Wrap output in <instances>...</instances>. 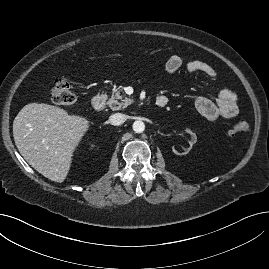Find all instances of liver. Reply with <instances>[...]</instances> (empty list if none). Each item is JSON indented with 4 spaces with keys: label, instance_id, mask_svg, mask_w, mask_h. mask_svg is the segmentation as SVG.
I'll return each mask as SVG.
<instances>
[{
    "label": "liver",
    "instance_id": "6515ba94",
    "mask_svg": "<svg viewBox=\"0 0 269 269\" xmlns=\"http://www.w3.org/2000/svg\"><path fill=\"white\" fill-rule=\"evenodd\" d=\"M89 129L82 116L45 104L25 105L13 122V137L22 157L46 178L63 182L72 156Z\"/></svg>",
    "mask_w": 269,
    "mask_h": 269
}]
</instances>
